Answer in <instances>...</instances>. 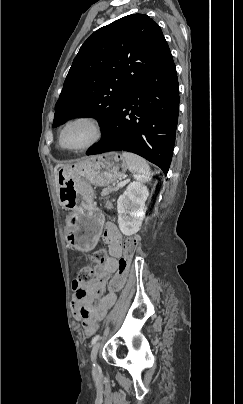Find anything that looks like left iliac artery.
I'll list each match as a JSON object with an SVG mask.
<instances>
[{"label": "left iliac artery", "instance_id": "obj_1", "mask_svg": "<svg viewBox=\"0 0 243 404\" xmlns=\"http://www.w3.org/2000/svg\"><path fill=\"white\" fill-rule=\"evenodd\" d=\"M99 338H100V335H96V336L92 339L91 344L94 345V344L99 340Z\"/></svg>", "mask_w": 243, "mask_h": 404}]
</instances>
